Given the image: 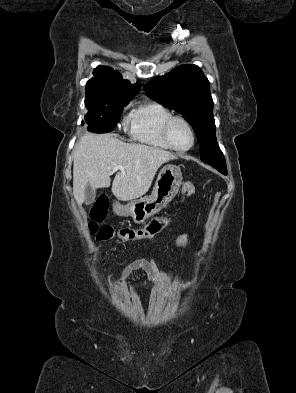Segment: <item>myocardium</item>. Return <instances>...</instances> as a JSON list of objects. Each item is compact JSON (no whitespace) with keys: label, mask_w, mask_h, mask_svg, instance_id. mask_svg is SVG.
Segmentation results:
<instances>
[{"label":"myocardium","mask_w":296,"mask_h":393,"mask_svg":"<svg viewBox=\"0 0 296 393\" xmlns=\"http://www.w3.org/2000/svg\"><path fill=\"white\" fill-rule=\"evenodd\" d=\"M175 121L183 122L188 127V129H189V131L191 133L192 142H191L190 146L187 147V148H183V149L182 148H178L177 146H175L173 144V142L171 140L170 129H171L172 124ZM162 135H163V138H164L165 142L167 143V145L171 149H173V150H175L177 152H187V151L191 150L194 147L195 143H196V133H195V130H194L192 124L190 123V121L187 118H185L183 116H180V115H172L171 117H169L166 120V122L164 123V126H163Z\"/></svg>","instance_id":"obj_1"}]
</instances>
